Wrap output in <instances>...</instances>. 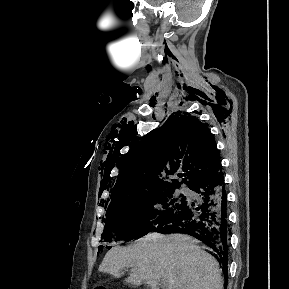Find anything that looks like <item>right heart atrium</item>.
Listing matches in <instances>:
<instances>
[{
	"label": "right heart atrium",
	"instance_id": "d8ad5b80",
	"mask_svg": "<svg viewBox=\"0 0 289 289\" xmlns=\"http://www.w3.org/2000/svg\"><path fill=\"white\" fill-rule=\"evenodd\" d=\"M152 209H153L155 212L160 211V210L162 209L161 203L155 202V203L152 205Z\"/></svg>",
	"mask_w": 289,
	"mask_h": 289
}]
</instances>
